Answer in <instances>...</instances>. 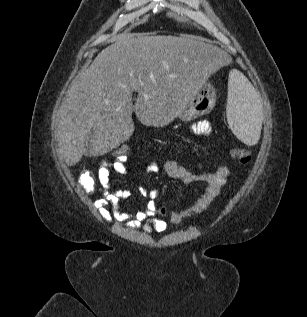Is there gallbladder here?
Instances as JSON below:
<instances>
[{"mask_svg":"<svg viewBox=\"0 0 307 317\" xmlns=\"http://www.w3.org/2000/svg\"><path fill=\"white\" fill-rule=\"evenodd\" d=\"M94 139V132H90L87 137H86V141L88 143V146L86 148V151L84 153L85 156H88L90 153V146H91V141H93Z\"/></svg>","mask_w":307,"mask_h":317,"instance_id":"bac80fb5","label":"gallbladder"}]
</instances>
